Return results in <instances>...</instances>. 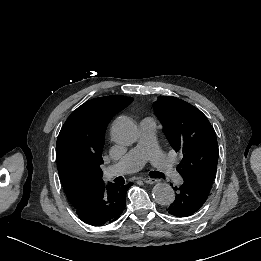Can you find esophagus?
<instances>
[{
    "label": "esophagus",
    "instance_id": "obj_1",
    "mask_svg": "<svg viewBox=\"0 0 261 261\" xmlns=\"http://www.w3.org/2000/svg\"><path fill=\"white\" fill-rule=\"evenodd\" d=\"M144 182L147 183V184H155V183L158 182V180L155 179V178H145Z\"/></svg>",
    "mask_w": 261,
    "mask_h": 261
}]
</instances>
